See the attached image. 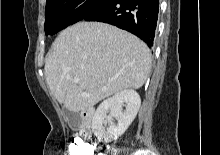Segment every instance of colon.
I'll use <instances>...</instances> for the list:
<instances>
[{"instance_id": "1", "label": "colon", "mask_w": 220, "mask_h": 155, "mask_svg": "<svg viewBox=\"0 0 220 155\" xmlns=\"http://www.w3.org/2000/svg\"><path fill=\"white\" fill-rule=\"evenodd\" d=\"M94 143H81L79 139H73L69 144L70 155H95Z\"/></svg>"}]
</instances>
